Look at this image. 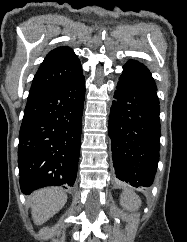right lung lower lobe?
Instances as JSON below:
<instances>
[{"instance_id":"right-lung-lower-lobe-1","label":"right lung lower lobe","mask_w":187,"mask_h":242,"mask_svg":"<svg viewBox=\"0 0 187 242\" xmlns=\"http://www.w3.org/2000/svg\"><path fill=\"white\" fill-rule=\"evenodd\" d=\"M85 78L29 93L19 134L18 166L24 194L76 180Z\"/></svg>"}]
</instances>
